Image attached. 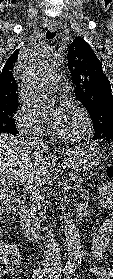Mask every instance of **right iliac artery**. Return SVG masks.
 <instances>
[{"instance_id": "1", "label": "right iliac artery", "mask_w": 113, "mask_h": 279, "mask_svg": "<svg viewBox=\"0 0 113 279\" xmlns=\"http://www.w3.org/2000/svg\"><path fill=\"white\" fill-rule=\"evenodd\" d=\"M44 274L45 273L41 270V268H38V269L33 270L32 278L33 279H42Z\"/></svg>"}]
</instances>
